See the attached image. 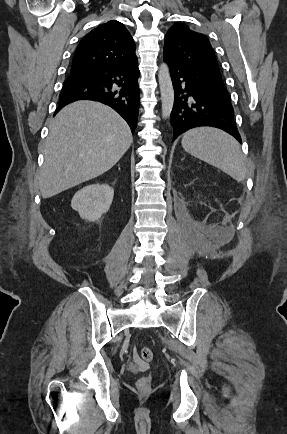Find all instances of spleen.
I'll list each match as a JSON object with an SVG mask.
<instances>
[{
	"mask_svg": "<svg viewBox=\"0 0 287 434\" xmlns=\"http://www.w3.org/2000/svg\"><path fill=\"white\" fill-rule=\"evenodd\" d=\"M183 149L213 165L238 182L246 177V163L238 141L228 133L211 127H199L184 133Z\"/></svg>",
	"mask_w": 287,
	"mask_h": 434,
	"instance_id": "1",
	"label": "spleen"
}]
</instances>
